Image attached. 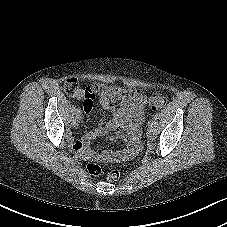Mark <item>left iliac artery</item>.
I'll return each instance as SVG.
<instances>
[{
    "mask_svg": "<svg viewBox=\"0 0 227 227\" xmlns=\"http://www.w3.org/2000/svg\"><path fill=\"white\" fill-rule=\"evenodd\" d=\"M147 125H148V127H152V126H153V120L150 119V120L148 121Z\"/></svg>",
    "mask_w": 227,
    "mask_h": 227,
    "instance_id": "1",
    "label": "left iliac artery"
}]
</instances>
